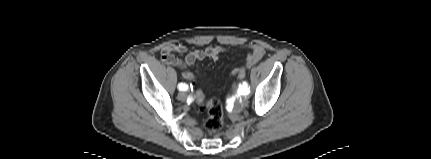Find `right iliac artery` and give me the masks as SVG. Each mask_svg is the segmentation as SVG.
Masks as SVG:
<instances>
[{"label": "right iliac artery", "instance_id": "right-iliac-artery-1", "mask_svg": "<svg viewBox=\"0 0 431 159\" xmlns=\"http://www.w3.org/2000/svg\"><path fill=\"white\" fill-rule=\"evenodd\" d=\"M178 89H179L180 91H186V90L188 89V85H186L185 83H180V84L178 85Z\"/></svg>", "mask_w": 431, "mask_h": 159}]
</instances>
